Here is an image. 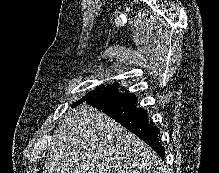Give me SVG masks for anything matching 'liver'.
Returning <instances> with one entry per match:
<instances>
[{
	"instance_id": "liver-1",
	"label": "liver",
	"mask_w": 219,
	"mask_h": 173,
	"mask_svg": "<svg viewBox=\"0 0 219 173\" xmlns=\"http://www.w3.org/2000/svg\"><path fill=\"white\" fill-rule=\"evenodd\" d=\"M153 150L99 109L68 111L54 132L43 173H161Z\"/></svg>"
}]
</instances>
